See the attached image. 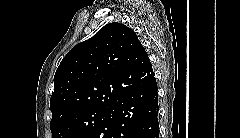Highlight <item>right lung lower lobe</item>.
Here are the masks:
<instances>
[{
    "label": "right lung lower lobe",
    "instance_id": "right-lung-lower-lobe-1",
    "mask_svg": "<svg viewBox=\"0 0 240 138\" xmlns=\"http://www.w3.org/2000/svg\"><path fill=\"white\" fill-rule=\"evenodd\" d=\"M157 90L154 77L113 103L91 138H158Z\"/></svg>",
    "mask_w": 240,
    "mask_h": 138
}]
</instances>
